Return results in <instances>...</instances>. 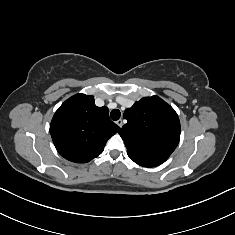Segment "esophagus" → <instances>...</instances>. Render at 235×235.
Wrapping results in <instances>:
<instances>
[{
  "label": "esophagus",
  "instance_id": "34e87169",
  "mask_svg": "<svg viewBox=\"0 0 235 235\" xmlns=\"http://www.w3.org/2000/svg\"><path fill=\"white\" fill-rule=\"evenodd\" d=\"M116 124L121 128L123 126V121L122 119H119L116 121Z\"/></svg>",
  "mask_w": 235,
  "mask_h": 235
}]
</instances>
